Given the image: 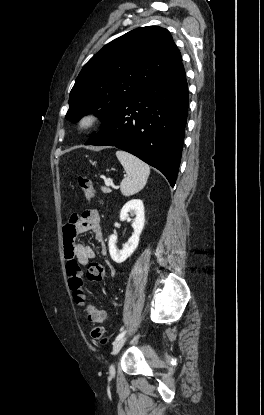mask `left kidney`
Masks as SVG:
<instances>
[{
	"mask_svg": "<svg viewBox=\"0 0 264 415\" xmlns=\"http://www.w3.org/2000/svg\"><path fill=\"white\" fill-rule=\"evenodd\" d=\"M133 216H135V218L132 219L131 217ZM120 219L128 222L132 221L134 233L129 238L128 242L123 245L122 250H119L116 247L117 236L111 235L109 237V253L112 260L116 263L124 262L132 255L139 244L140 234L145 224L144 205L142 200L132 199L128 201L121 209Z\"/></svg>",
	"mask_w": 264,
	"mask_h": 415,
	"instance_id": "left-kidney-1",
	"label": "left kidney"
}]
</instances>
